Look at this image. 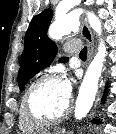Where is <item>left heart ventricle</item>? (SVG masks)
<instances>
[{"label": "left heart ventricle", "mask_w": 116, "mask_h": 134, "mask_svg": "<svg viewBox=\"0 0 116 134\" xmlns=\"http://www.w3.org/2000/svg\"><path fill=\"white\" fill-rule=\"evenodd\" d=\"M69 103L61 91L59 81L45 84L34 99L38 112L54 116L65 112Z\"/></svg>", "instance_id": "1"}]
</instances>
